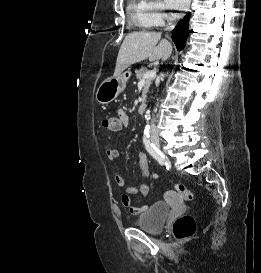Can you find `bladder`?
<instances>
[{
	"instance_id": "1",
	"label": "bladder",
	"mask_w": 261,
	"mask_h": 273,
	"mask_svg": "<svg viewBox=\"0 0 261 273\" xmlns=\"http://www.w3.org/2000/svg\"><path fill=\"white\" fill-rule=\"evenodd\" d=\"M171 205L164 201H157L149 205L138 217V227L148 232H160L169 216Z\"/></svg>"
}]
</instances>
